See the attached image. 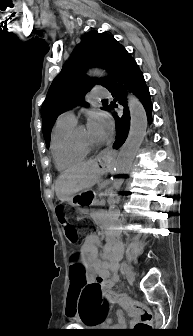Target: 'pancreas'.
Returning a JSON list of instances; mask_svg holds the SVG:
<instances>
[{
    "instance_id": "cf45deb5",
    "label": "pancreas",
    "mask_w": 193,
    "mask_h": 336,
    "mask_svg": "<svg viewBox=\"0 0 193 336\" xmlns=\"http://www.w3.org/2000/svg\"><path fill=\"white\" fill-rule=\"evenodd\" d=\"M107 197V194L105 196V198ZM106 202L102 199H99L96 201V204L93 205V210L97 211L98 213H101L102 211H104L106 209Z\"/></svg>"
}]
</instances>
